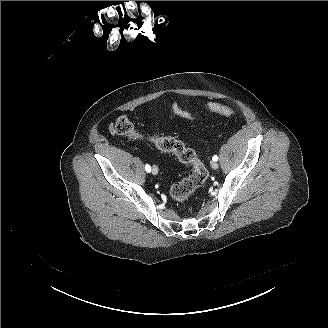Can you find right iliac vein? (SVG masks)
I'll list each match as a JSON object with an SVG mask.
<instances>
[{"label": "right iliac vein", "mask_w": 328, "mask_h": 328, "mask_svg": "<svg viewBox=\"0 0 328 328\" xmlns=\"http://www.w3.org/2000/svg\"><path fill=\"white\" fill-rule=\"evenodd\" d=\"M151 172H152L153 175H157L158 174L159 170H158V168H157L156 165H153Z\"/></svg>", "instance_id": "obj_1"}]
</instances>
